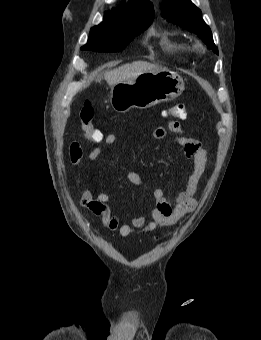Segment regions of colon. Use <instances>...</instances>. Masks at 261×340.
I'll return each instance as SVG.
<instances>
[{"label":"colon","instance_id":"5ec220e1","mask_svg":"<svg viewBox=\"0 0 261 340\" xmlns=\"http://www.w3.org/2000/svg\"><path fill=\"white\" fill-rule=\"evenodd\" d=\"M166 115L184 119L187 116L186 107L182 103H178L172 107H170ZM80 122L82 125V128L86 134V137L91 140L92 142H100L103 139V134L100 130L95 128L93 121L95 118V109L94 107L89 103L85 102L79 112Z\"/></svg>","mask_w":261,"mask_h":340}]
</instances>
